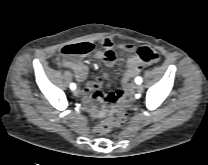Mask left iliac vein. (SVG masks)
<instances>
[{
  "label": "left iliac vein",
  "instance_id": "obj_1",
  "mask_svg": "<svg viewBox=\"0 0 208 165\" xmlns=\"http://www.w3.org/2000/svg\"><path fill=\"white\" fill-rule=\"evenodd\" d=\"M143 86L141 85V84H138V85H136V90L138 91V92H142L143 91Z\"/></svg>",
  "mask_w": 208,
  "mask_h": 165
}]
</instances>
